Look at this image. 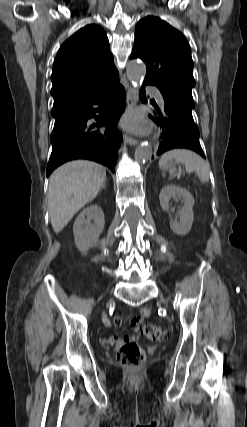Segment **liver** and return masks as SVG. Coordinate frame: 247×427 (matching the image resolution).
I'll use <instances>...</instances> for the list:
<instances>
[{
    "instance_id": "liver-1",
    "label": "liver",
    "mask_w": 247,
    "mask_h": 427,
    "mask_svg": "<svg viewBox=\"0 0 247 427\" xmlns=\"http://www.w3.org/2000/svg\"><path fill=\"white\" fill-rule=\"evenodd\" d=\"M105 180V168L88 160L68 162L51 174L48 208L55 233L63 230L73 216L97 196Z\"/></svg>"
}]
</instances>
